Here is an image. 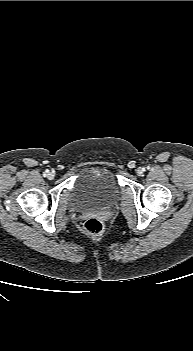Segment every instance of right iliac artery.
<instances>
[{"mask_svg":"<svg viewBox=\"0 0 193 351\" xmlns=\"http://www.w3.org/2000/svg\"><path fill=\"white\" fill-rule=\"evenodd\" d=\"M48 172H49V171H48V170H46V171H45V173H44L43 175H44V176H46V174H47Z\"/></svg>","mask_w":193,"mask_h":351,"instance_id":"82829eb1","label":"right iliac artery"}]
</instances>
